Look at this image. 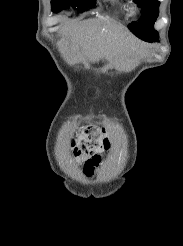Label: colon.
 Wrapping results in <instances>:
<instances>
[{"instance_id": "obj_1", "label": "colon", "mask_w": 183, "mask_h": 246, "mask_svg": "<svg viewBox=\"0 0 183 246\" xmlns=\"http://www.w3.org/2000/svg\"><path fill=\"white\" fill-rule=\"evenodd\" d=\"M109 146L105 131L95 126L86 127L79 138L71 141L73 154L80 163L87 162L91 156Z\"/></svg>"}]
</instances>
